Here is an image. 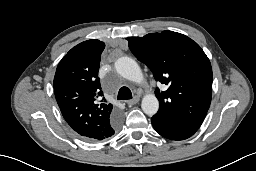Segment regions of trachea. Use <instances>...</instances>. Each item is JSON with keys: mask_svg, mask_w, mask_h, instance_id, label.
<instances>
[{"mask_svg": "<svg viewBox=\"0 0 256 171\" xmlns=\"http://www.w3.org/2000/svg\"><path fill=\"white\" fill-rule=\"evenodd\" d=\"M118 100H129L132 99V92L128 87H121L119 92H118V96H117Z\"/></svg>", "mask_w": 256, "mask_h": 171, "instance_id": "1", "label": "trachea"}]
</instances>
